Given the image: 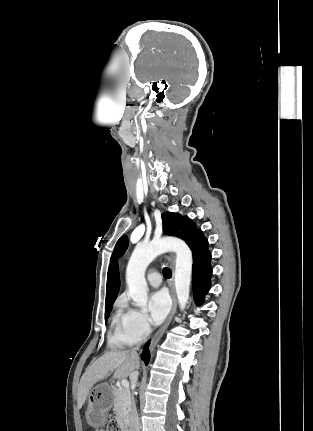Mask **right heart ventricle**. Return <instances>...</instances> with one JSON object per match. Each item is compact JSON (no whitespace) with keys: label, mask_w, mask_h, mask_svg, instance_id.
Here are the masks:
<instances>
[{"label":"right heart ventricle","mask_w":313,"mask_h":431,"mask_svg":"<svg viewBox=\"0 0 313 431\" xmlns=\"http://www.w3.org/2000/svg\"><path fill=\"white\" fill-rule=\"evenodd\" d=\"M128 311L122 302L118 303L113 316L112 331L109 336V344L114 348L131 346L138 341L127 325Z\"/></svg>","instance_id":"obj_1"}]
</instances>
